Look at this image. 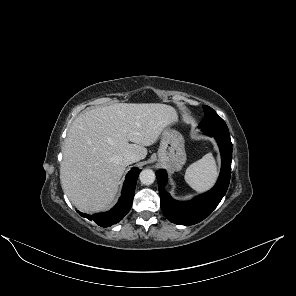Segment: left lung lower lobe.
<instances>
[{"label": "left lung lower lobe", "mask_w": 296, "mask_h": 296, "mask_svg": "<svg viewBox=\"0 0 296 296\" xmlns=\"http://www.w3.org/2000/svg\"><path fill=\"white\" fill-rule=\"evenodd\" d=\"M203 132L214 137L220 148L222 167L216 185L208 192L185 202H178L165 191L167 175L165 170L156 172L164 215L173 223L193 225L208 217L225 195L230 182L232 143L228 128H202Z\"/></svg>", "instance_id": "1"}]
</instances>
